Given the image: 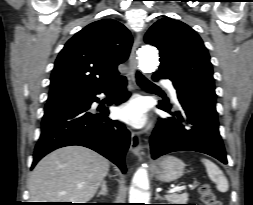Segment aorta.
<instances>
[{
    "label": "aorta",
    "instance_id": "obj_1",
    "mask_svg": "<svg viewBox=\"0 0 253 205\" xmlns=\"http://www.w3.org/2000/svg\"><path fill=\"white\" fill-rule=\"evenodd\" d=\"M159 65V56L157 49L152 45H144L139 50V68L144 73L154 72ZM148 193L144 190L131 187L129 203L143 204L147 203Z\"/></svg>",
    "mask_w": 253,
    "mask_h": 205
}]
</instances>
